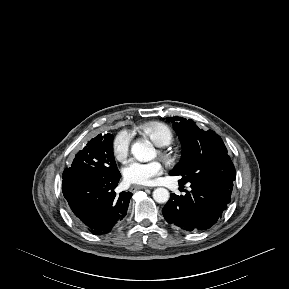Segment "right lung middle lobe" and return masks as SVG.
Listing matches in <instances>:
<instances>
[{"label":"right lung middle lobe","mask_w":289,"mask_h":289,"mask_svg":"<svg viewBox=\"0 0 289 289\" xmlns=\"http://www.w3.org/2000/svg\"><path fill=\"white\" fill-rule=\"evenodd\" d=\"M117 170L113 155V135L99 134L79 151L69 169L83 176H105Z\"/></svg>","instance_id":"dd1d6c3e"}]
</instances>
